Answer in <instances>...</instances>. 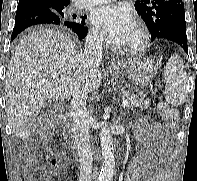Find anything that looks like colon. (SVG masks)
Listing matches in <instances>:
<instances>
[{
    "instance_id": "1",
    "label": "colon",
    "mask_w": 197,
    "mask_h": 181,
    "mask_svg": "<svg viewBox=\"0 0 197 181\" xmlns=\"http://www.w3.org/2000/svg\"><path fill=\"white\" fill-rule=\"evenodd\" d=\"M160 113L166 121L168 130H174L179 120L178 111L175 108L162 103L160 105ZM50 164L55 168H59L65 164V159L62 155L58 154L51 158ZM24 173L29 181H51L49 178V172L43 163L42 156L35 151L30 152L27 155L24 162Z\"/></svg>"
}]
</instances>
